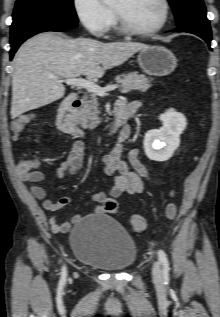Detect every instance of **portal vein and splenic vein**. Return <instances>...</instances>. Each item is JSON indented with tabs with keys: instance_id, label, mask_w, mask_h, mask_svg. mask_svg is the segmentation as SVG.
I'll return each mask as SVG.
<instances>
[{
	"instance_id": "portal-vein-and-splenic-vein-1",
	"label": "portal vein and splenic vein",
	"mask_w": 220,
	"mask_h": 317,
	"mask_svg": "<svg viewBox=\"0 0 220 317\" xmlns=\"http://www.w3.org/2000/svg\"><path fill=\"white\" fill-rule=\"evenodd\" d=\"M50 77L53 79H57L61 82H65L67 85H71L75 87H83L89 90L90 92L101 97H103L106 94V92L113 91L118 88V85H109L107 87H100L96 83L90 80L82 79V78H67V79L61 80L58 77L53 75H51Z\"/></svg>"
}]
</instances>
